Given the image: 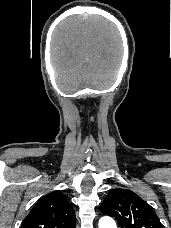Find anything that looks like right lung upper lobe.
Returning <instances> with one entry per match:
<instances>
[{
  "instance_id": "1",
  "label": "right lung upper lobe",
  "mask_w": 171,
  "mask_h": 228,
  "mask_svg": "<svg viewBox=\"0 0 171 228\" xmlns=\"http://www.w3.org/2000/svg\"><path fill=\"white\" fill-rule=\"evenodd\" d=\"M21 228H75V213L65 196L56 190L38 201Z\"/></svg>"
}]
</instances>
